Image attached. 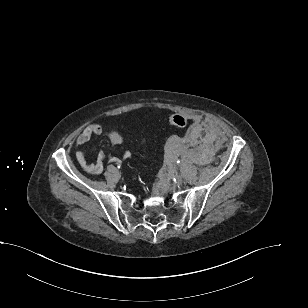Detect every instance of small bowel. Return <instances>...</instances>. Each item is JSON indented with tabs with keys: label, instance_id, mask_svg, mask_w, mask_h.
Returning <instances> with one entry per match:
<instances>
[{
	"label": "small bowel",
	"instance_id": "obj_1",
	"mask_svg": "<svg viewBox=\"0 0 308 308\" xmlns=\"http://www.w3.org/2000/svg\"><path fill=\"white\" fill-rule=\"evenodd\" d=\"M103 133L102 126L100 124H90L88 125L77 137L76 145L77 149L75 152L76 159L80 167L92 174H101L104 169V162H113L120 164L121 160L117 157L109 156L103 152L98 155L96 162H90L85 156L83 146L88 143L93 137L99 136ZM107 138L115 145H120L123 142L122 136L116 131H108L106 133ZM124 158H128L130 154L128 152L124 153Z\"/></svg>",
	"mask_w": 308,
	"mask_h": 308
}]
</instances>
